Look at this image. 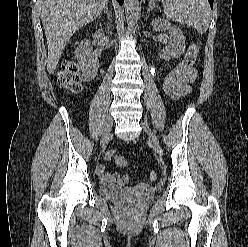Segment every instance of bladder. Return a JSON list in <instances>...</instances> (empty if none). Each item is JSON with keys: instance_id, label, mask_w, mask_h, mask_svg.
<instances>
[{"instance_id": "bladder-1", "label": "bladder", "mask_w": 248, "mask_h": 247, "mask_svg": "<svg viewBox=\"0 0 248 247\" xmlns=\"http://www.w3.org/2000/svg\"><path fill=\"white\" fill-rule=\"evenodd\" d=\"M137 187H116L110 185H100L99 192L100 194L108 199L115 201H122L126 198L127 194L135 192ZM153 193V190H148L145 195H139L136 198L142 200L146 197V195H150Z\"/></svg>"}]
</instances>
